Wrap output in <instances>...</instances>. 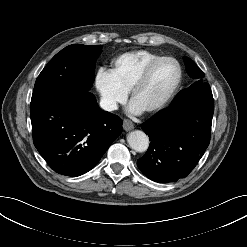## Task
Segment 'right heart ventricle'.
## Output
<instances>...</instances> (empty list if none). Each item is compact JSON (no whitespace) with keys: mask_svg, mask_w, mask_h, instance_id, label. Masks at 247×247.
<instances>
[{"mask_svg":"<svg viewBox=\"0 0 247 247\" xmlns=\"http://www.w3.org/2000/svg\"><path fill=\"white\" fill-rule=\"evenodd\" d=\"M159 56L147 50L126 52L112 61L111 73L117 83L129 91L145 66Z\"/></svg>","mask_w":247,"mask_h":247,"instance_id":"1","label":"right heart ventricle"}]
</instances>
